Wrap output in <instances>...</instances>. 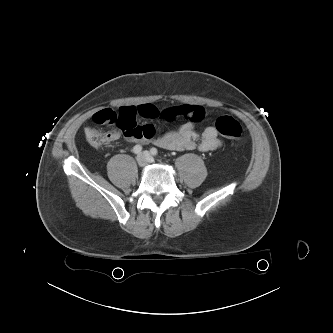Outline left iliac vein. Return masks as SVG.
<instances>
[{"label":"left iliac vein","mask_w":333,"mask_h":333,"mask_svg":"<svg viewBox=\"0 0 333 333\" xmlns=\"http://www.w3.org/2000/svg\"><path fill=\"white\" fill-rule=\"evenodd\" d=\"M144 154L146 155L149 163H152L154 161L153 157L150 155L148 151H145Z\"/></svg>","instance_id":"obj_1"}]
</instances>
